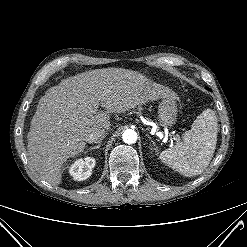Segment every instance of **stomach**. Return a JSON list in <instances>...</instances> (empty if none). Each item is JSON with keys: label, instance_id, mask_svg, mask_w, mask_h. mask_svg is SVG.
Returning a JSON list of instances; mask_svg holds the SVG:
<instances>
[{"label": "stomach", "instance_id": "stomach-1", "mask_svg": "<svg viewBox=\"0 0 247 247\" xmlns=\"http://www.w3.org/2000/svg\"><path fill=\"white\" fill-rule=\"evenodd\" d=\"M177 105L173 99H163L158 108V121L163 127H172L176 122Z\"/></svg>", "mask_w": 247, "mask_h": 247}]
</instances>
